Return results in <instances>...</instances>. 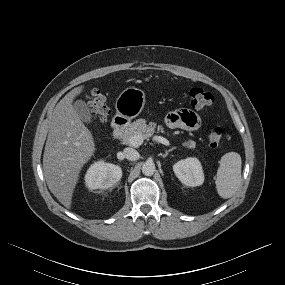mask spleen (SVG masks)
I'll return each mask as SVG.
<instances>
[{"label":"spleen","mask_w":285,"mask_h":285,"mask_svg":"<svg viewBox=\"0 0 285 285\" xmlns=\"http://www.w3.org/2000/svg\"><path fill=\"white\" fill-rule=\"evenodd\" d=\"M241 157L236 152L223 155L217 170L216 189L220 197L231 198L241 183Z\"/></svg>","instance_id":"spleen-1"}]
</instances>
